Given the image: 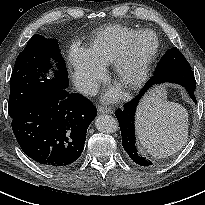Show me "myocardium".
Segmentation results:
<instances>
[{
	"label": "myocardium",
	"instance_id": "myocardium-1",
	"mask_svg": "<svg viewBox=\"0 0 205 205\" xmlns=\"http://www.w3.org/2000/svg\"><path fill=\"white\" fill-rule=\"evenodd\" d=\"M146 36L154 39V46L147 52H142L139 41ZM159 51V40L152 30L139 31L129 42L127 49L114 61V73L116 80L127 90L140 88L148 79L150 67ZM134 69L132 78L128 73Z\"/></svg>",
	"mask_w": 205,
	"mask_h": 205
}]
</instances>
